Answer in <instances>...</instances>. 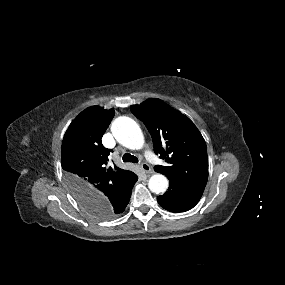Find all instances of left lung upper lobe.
Masks as SVG:
<instances>
[{"mask_svg": "<svg viewBox=\"0 0 285 285\" xmlns=\"http://www.w3.org/2000/svg\"><path fill=\"white\" fill-rule=\"evenodd\" d=\"M151 134L154 152L166 162L155 171L168 179L205 188L208 157L204 138L185 115L159 99H149L130 107Z\"/></svg>", "mask_w": 285, "mask_h": 285, "instance_id": "obj_1", "label": "left lung upper lobe"}]
</instances>
